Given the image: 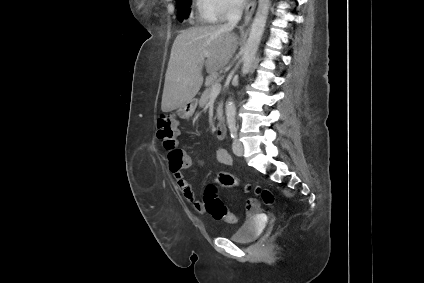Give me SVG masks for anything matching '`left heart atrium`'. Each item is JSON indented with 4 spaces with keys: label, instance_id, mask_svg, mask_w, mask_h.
<instances>
[{
    "label": "left heart atrium",
    "instance_id": "obj_1",
    "mask_svg": "<svg viewBox=\"0 0 424 283\" xmlns=\"http://www.w3.org/2000/svg\"><path fill=\"white\" fill-rule=\"evenodd\" d=\"M245 0H240V3H243Z\"/></svg>",
    "mask_w": 424,
    "mask_h": 283
}]
</instances>
